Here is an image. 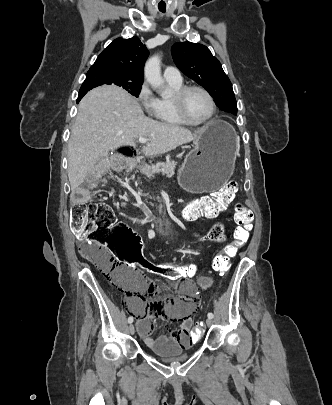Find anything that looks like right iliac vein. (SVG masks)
I'll list each match as a JSON object with an SVG mask.
<instances>
[{"label":"right iliac vein","mask_w":332,"mask_h":405,"mask_svg":"<svg viewBox=\"0 0 332 405\" xmlns=\"http://www.w3.org/2000/svg\"><path fill=\"white\" fill-rule=\"evenodd\" d=\"M128 332H129L131 335H133V334L135 333V328H134V325H133V324H130V325L128 326Z\"/></svg>","instance_id":"1"}]
</instances>
